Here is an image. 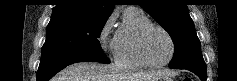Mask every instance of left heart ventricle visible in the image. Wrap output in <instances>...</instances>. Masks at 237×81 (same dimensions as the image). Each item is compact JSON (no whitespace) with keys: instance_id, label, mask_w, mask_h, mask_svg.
<instances>
[{"instance_id":"obj_1","label":"left heart ventricle","mask_w":237,"mask_h":81,"mask_svg":"<svg viewBox=\"0 0 237 81\" xmlns=\"http://www.w3.org/2000/svg\"><path fill=\"white\" fill-rule=\"evenodd\" d=\"M144 52L149 61L160 63L169 58L171 45L162 31L151 28L144 39Z\"/></svg>"}]
</instances>
